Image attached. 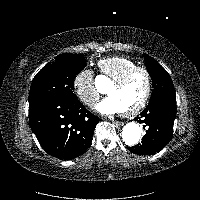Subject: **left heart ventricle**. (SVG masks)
<instances>
[{
  "label": "left heart ventricle",
  "instance_id": "1",
  "mask_svg": "<svg viewBox=\"0 0 200 200\" xmlns=\"http://www.w3.org/2000/svg\"><path fill=\"white\" fill-rule=\"evenodd\" d=\"M146 85L145 75L137 73L122 87H109L108 93L116 99L122 111H125L131 109L141 101L146 91Z\"/></svg>",
  "mask_w": 200,
  "mask_h": 200
}]
</instances>
